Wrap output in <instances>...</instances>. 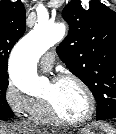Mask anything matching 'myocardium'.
I'll list each match as a JSON object with an SVG mask.
<instances>
[{
  "label": "myocardium",
  "mask_w": 116,
  "mask_h": 134,
  "mask_svg": "<svg viewBox=\"0 0 116 134\" xmlns=\"http://www.w3.org/2000/svg\"><path fill=\"white\" fill-rule=\"evenodd\" d=\"M63 81H72V82L76 83L78 86H80L81 89L84 91V93L87 97V100H88V109H87L86 113L79 119L66 118L58 112V110L55 108L54 104L51 102L50 99L44 97V103L47 107V110H48L50 116L52 117V119L61 124H65V125H69V126L82 125V124L86 123L88 120H90L95 113V109H96L95 96H94L93 92L91 91V89L89 88V86L83 80H81L80 78H78L75 75L63 74V75H59V76L55 77L52 80L53 83H58V82H63Z\"/></svg>",
  "instance_id": "obj_1"
}]
</instances>
